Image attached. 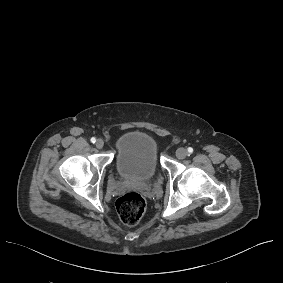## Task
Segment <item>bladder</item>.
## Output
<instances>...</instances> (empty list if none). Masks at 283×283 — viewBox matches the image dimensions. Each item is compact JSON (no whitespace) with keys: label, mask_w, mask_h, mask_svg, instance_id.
<instances>
[{"label":"bladder","mask_w":283,"mask_h":283,"mask_svg":"<svg viewBox=\"0 0 283 283\" xmlns=\"http://www.w3.org/2000/svg\"><path fill=\"white\" fill-rule=\"evenodd\" d=\"M119 148L116 167L124 178L147 180L158 171V147L149 135L129 132L120 141Z\"/></svg>","instance_id":"1"}]
</instances>
